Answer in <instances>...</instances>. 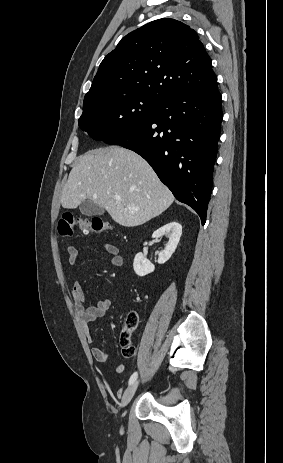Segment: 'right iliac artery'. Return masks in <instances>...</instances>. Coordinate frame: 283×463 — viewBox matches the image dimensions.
I'll list each match as a JSON object with an SVG mask.
<instances>
[{
  "label": "right iliac artery",
  "mask_w": 283,
  "mask_h": 463,
  "mask_svg": "<svg viewBox=\"0 0 283 463\" xmlns=\"http://www.w3.org/2000/svg\"><path fill=\"white\" fill-rule=\"evenodd\" d=\"M137 375H138L137 372H134V373L131 375V377H130V379H129V385H131L132 383L135 382V380L137 379Z\"/></svg>",
  "instance_id": "1"
}]
</instances>
